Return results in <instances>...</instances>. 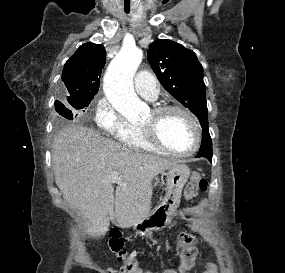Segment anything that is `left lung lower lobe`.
Segmentation results:
<instances>
[{
	"label": "left lung lower lobe",
	"mask_w": 285,
	"mask_h": 273,
	"mask_svg": "<svg viewBox=\"0 0 285 273\" xmlns=\"http://www.w3.org/2000/svg\"><path fill=\"white\" fill-rule=\"evenodd\" d=\"M202 156L212 161V141H211L208 127L203 128L202 143H201L200 151L197 154V157H202Z\"/></svg>",
	"instance_id": "left-lung-lower-lobe-1"
}]
</instances>
